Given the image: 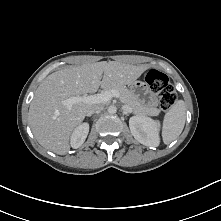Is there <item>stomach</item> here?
Returning a JSON list of instances; mask_svg holds the SVG:
<instances>
[{"label":"stomach","mask_w":221,"mask_h":221,"mask_svg":"<svg viewBox=\"0 0 221 221\" xmlns=\"http://www.w3.org/2000/svg\"><path fill=\"white\" fill-rule=\"evenodd\" d=\"M130 91L140 102L146 104V98L149 93V87L147 83L136 80L130 84Z\"/></svg>","instance_id":"0dacf381"}]
</instances>
